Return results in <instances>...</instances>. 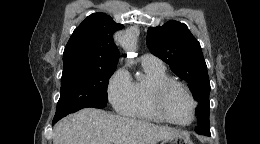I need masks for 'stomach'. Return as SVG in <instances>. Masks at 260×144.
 Here are the masks:
<instances>
[{
	"instance_id": "1",
	"label": "stomach",
	"mask_w": 260,
	"mask_h": 144,
	"mask_svg": "<svg viewBox=\"0 0 260 144\" xmlns=\"http://www.w3.org/2000/svg\"><path fill=\"white\" fill-rule=\"evenodd\" d=\"M183 140L185 141V144H192L190 141L184 139V137L180 134L163 140L161 144H183Z\"/></svg>"
}]
</instances>
